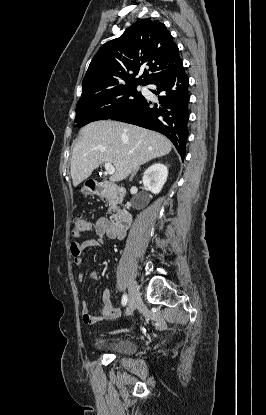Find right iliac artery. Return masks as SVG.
<instances>
[{"instance_id":"82829eb1","label":"right iliac artery","mask_w":266,"mask_h":415,"mask_svg":"<svg viewBox=\"0 0 266 415\" xmlns=\"http://www.w3.org/2000/svg\"><path fill=\"white\" fill-rule=\"evenodd\" d=\"M127 301H128V297L126 294H124L122 297V305L125 306L127 304Z\"/></svg>"}]
</instances>
